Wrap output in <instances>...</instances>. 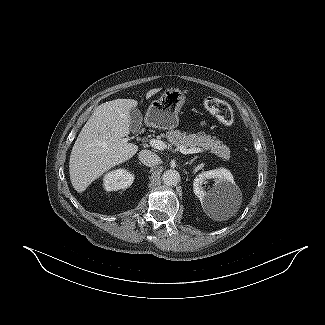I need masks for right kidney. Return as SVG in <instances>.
I'll return each instance as SVG.
<instances>
[{
	"instance_id": "ca27d5eb",
	"label": "right kidney",
	"mask_w": 325,
	"mask_h": 325,
	"mask_svg": "<svg viewBox=\"0 0 325 325\" xmlns=\"http://www.w3.org/2000/svg\"><path fill=\"white\" fill-rule=\"evenodd\" d=\"M134 181V174L126 169L120 168L112 170L103 178V186L107 191H117L125 189Z\"/></svg>"
}]
</instances>
